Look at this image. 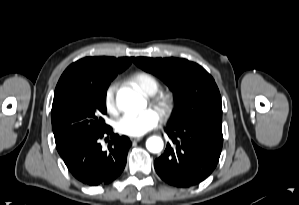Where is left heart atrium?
<instances>
[{
  "label": "left heart atrium",
  "mask_w": 299,
  "mask_h": 205,
  "mask_svg": "<svg viewBox=\"0 0 299 205\" xmlns=\"http://www.w3.org/2000/svg\"><path fill=\"white\" fill-rule=\"evenodd\" d=\"M159 114L153 109L144 110L138 114H126L116 123V130L124 135L140 137L157 127Z\"/></svg>",
  "instance_id": "left-heart-atrium-1"
}]
</instances>
